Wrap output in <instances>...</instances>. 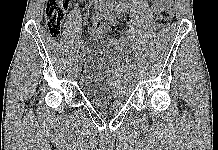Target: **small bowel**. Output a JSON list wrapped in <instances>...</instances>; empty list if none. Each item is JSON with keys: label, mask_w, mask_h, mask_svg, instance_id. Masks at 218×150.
Listing matches in <instances>:
<instances>
[{"label": "small bowel", "mask_w": 218, "mask_h": 150, "mask_svg": "<svg viewBox=\"0 0 218 150\" xmlns=\"http://www.w3.org/2000/svg\"><path fill=\"white\" fill-rule=\"evenodd\" d=\"M153 1H154V3H155L156 7L165 6V7H167V8L170 9L171 6H172V0H153ZM124 9H125L124 4L120 1V2L118 3L117 7H116V11H118V12H123ZM95 21H98V20H95ZM96 24H97V22L94 23V24L89 28L90 31H96V30H95Z\"/></svg>", "instance_id": "small-bowel-1"}]
</instances>
